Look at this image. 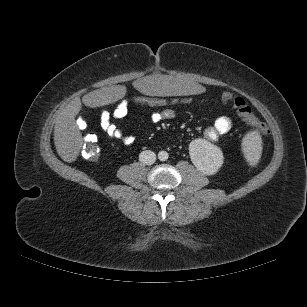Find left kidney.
<instances>
[{
  "label": "left kidney",
  "instance_id": "left-kidney-1",
  "mask_svg": "<svg viewBox=\"0 0 307 307\" xmlns=\"http://www.w3.org/2000/svg\"><path fill=\"white\" fill-rule=\"evenodd\" d=\"M189 154L195 167L206 175L217 173L223 164L222 150L202 138H197L190 142Z\"/></svg>",
  "mask_w": 307,
  "mask_h": 307
}]
</instances>
